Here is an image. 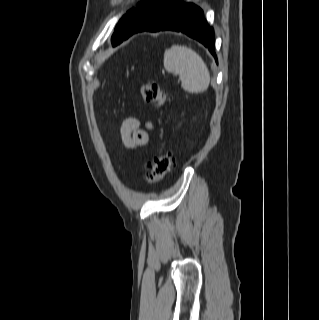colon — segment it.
<instances>
[{"label":"colon","mask_w":319,"mask_h":320,"mask_svg":"<svg viewBox=\"0 0 319 320\" xmlns=\"http://www.w3.org/2000/svg\"><path fill=\"white\" fill-rule=\"evenodd\" d=\"M142 99L155 105L156 107L164 106L168 101L167 93L153 79H147L140 88ZM174 167V158L170 152L160 153L152 159L148 165L144 180L148 184L157 183L168 175Z\"/></svg>","instance_id":"5ec220e1"}]
</instances>
